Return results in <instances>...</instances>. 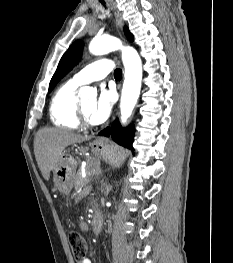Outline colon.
I'll use <instances>...</instances> for the list:
<instances>
[{
	"instance_id": "obj_1",
	"label": "colon",
	"mask_w": 233,
	"mask_h": 263,
	"mask_svg": "<svg viewBox=\"0 0 233 263\" xmlns=\"http://www.w3.org/2000/svg\"><path fill=\"white\" fill-rule=\"evenodd\" d=\"M68 240L74 259L80 262L85 258L87 253V243L85 238L79 232L70 231L68 234Z\"/></svg>"
}]
</instances>
